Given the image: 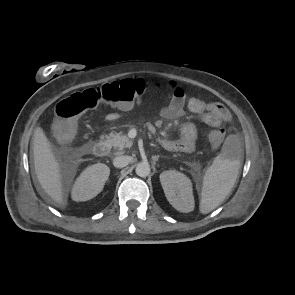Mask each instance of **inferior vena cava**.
Instances as JSON below:
<instances>
[{
    "label": "inferior vena cava",
    "mask_w": 295,
    "mask_h": 295,
    "mask_svg": "<svg viewBox=\"0 0 295 295\" xmlns=\"http://www.w3.org/2000/svg\"><path fill=\"white\" fill-rule=\"evenodd\" d=\"M132 160L130 156H117L113 160V165L116 168H123L129 164V162Z\"/></svg>",
    "instance_id": "1"
}]
</instances>
